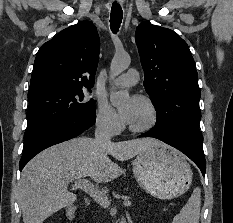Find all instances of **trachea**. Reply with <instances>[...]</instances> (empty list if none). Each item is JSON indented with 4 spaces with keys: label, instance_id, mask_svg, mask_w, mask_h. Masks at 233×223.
I'll return each instance as SVG.
<instances>
[{
    "label": "trachea",
    "instance_id": "trachea-1",
    "mask_svg": "<svg viewBox=\"0 0 233 223\" xmlns=\"http://www.w3.org/2000/svg\"><path fill=\"white\" fill-rule=\"evenodd\" d=\"M123 12L119 4L114 3L111 9L110 27L112 32H118L120 24L122 22Z\"/></svg>",
    "mask_w": 233,
    "mask_h": 223
}]
</instances>
